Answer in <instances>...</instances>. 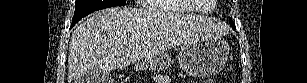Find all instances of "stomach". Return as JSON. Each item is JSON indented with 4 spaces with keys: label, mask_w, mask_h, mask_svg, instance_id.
I'll use <instances>...</instances> for the list:
<instances>
[{
    "label": "stomach",
    "mask_w": 307,
    "mask_h": 83,
    "mask_svg": "<svg viewBox=\"0 0 307 83\" xmlns=\"http://www.w3.org/2000/svg\"><path fill=\"white\" fill-rule=\"evenodd\" d=\"M228 55L229 46L224 40L199 38L182 46L178 61L181 69L188 75L206 77L218 73L224 66ZM169 64V56L159 54L145 59L143 68L161 71Z\"/></svg>",
    "instance_id": "stomach-1"
}]
</instances>
